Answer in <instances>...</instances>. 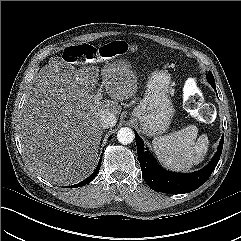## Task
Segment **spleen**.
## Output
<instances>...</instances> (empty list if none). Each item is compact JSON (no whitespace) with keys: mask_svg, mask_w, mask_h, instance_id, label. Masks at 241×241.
<instances>
[{"mask_svg":"<svg viewBox=\"0 0 241 241\" xmlns=\"http://www.w3.org/2000/svg\"><path fill=\"white\" fill-rule=\"evenodd\" d=\"M198 129L189 125L184 129L153 140V149L164 167L186 172L204 160L209 140L206 134L197 138Z\"/></svg>","mask_w":241,"mask_h":241,"instance_id":"1","label":"spleen"}]
</instances>
